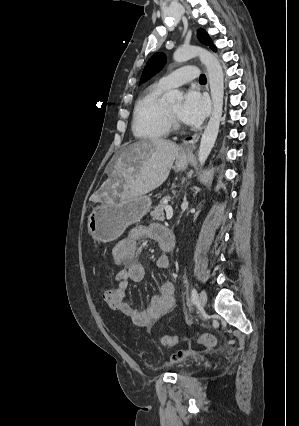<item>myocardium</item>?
I'll return each instance as SVG.
<instances>
[{
  "label": "myocardium",
  "mask_w": 299,
  "mask_h": 426,
  "mask_svg": "<svg viewBox=\"0 0 299 426\" xmlns=\"http://www.w3.org/2000/svg\"><path fill=\"white\" fill-rule=\"evenodd\" d=\"M166 119H167V124L169 126V129L178 131L182 128L179 119L172 112L169 105H167V108H166Z\"/></svg>",
  "instance_id": "obj_1"
}]
</instances>
